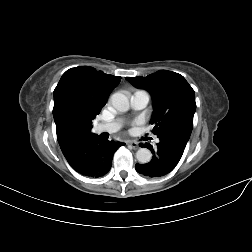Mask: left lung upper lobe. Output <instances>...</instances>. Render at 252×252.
I'll use <instances>...</instances> for the list:
<instances>
[{
    "mask_svg": "<svg viewBox=\"0 0 252 252\" xmlns=\"http://www.w3.org/2000/svg\"><path fill=\"white\" fill-rule=\"evenodd\" d=\"M126 79L151 94L154 111L150 123L155 125L154 134L190 138L196 110L195 93L182 75L160 70L147 77Z\"/></svg>",
    "mask_w": 252,
    "mask_h": 252,
    "instance_id": "obj_1",
    "label": "left lung upper lobe"
}]
</instances>
